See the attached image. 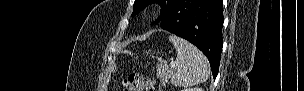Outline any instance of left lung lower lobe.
<instances>
[{
	"mask_svg": "<svg viewBox=\"0 0 304 91\" xmlns=\"http://www.w3.org/2000/svg\"><path fill=\"white\" fill-rule=\"evenodd\" d=\"M222 0H176L160 27L199 48L208 58L214 79L223 46Z\"/></svg>",
	"mask_w": 304,
	"mask_h": 91,
	"instance_id": "obj_1",
	"label": "left lung lower lobe"
}]
</instances>
